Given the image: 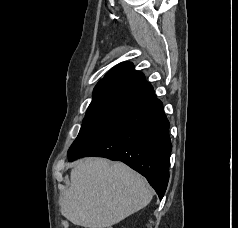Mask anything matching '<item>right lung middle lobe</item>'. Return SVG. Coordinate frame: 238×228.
<instances>
[{"mask_svg":"<svg viewBox=\"0 0 238 228\" xmlns=\"http://www.w3.org/2000/svg\"><path fill=\"white\" fill-rule=\"evenodd\" d=\"M119 115H102V114H87L83 120L80 132L68 150V154L73 153L79 147L84 145L105 127L114 120L119 118Z\"/></svg>","mask_w":238,"mask_h":228,"instance_id":"dd1d6c3e","label":"right lung middle lobe"}]
</instances>
